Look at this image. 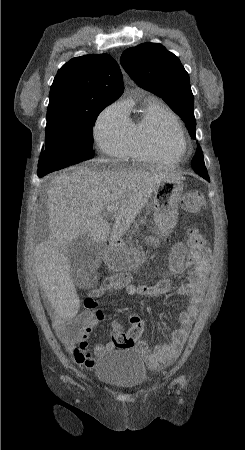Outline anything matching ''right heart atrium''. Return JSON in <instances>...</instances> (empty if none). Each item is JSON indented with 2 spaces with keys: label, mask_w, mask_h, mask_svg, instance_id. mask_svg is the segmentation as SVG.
<instances>
[{
  "label": "right heart atrium",
  "mask_w": 245,
  "mask_h": 450,
  "mask_svg": "<svg viewBox=\"0 0 245 450\" xmlns=\"http://www.w3.org/2000/svg\"><path fill=\"white\" fill-rule=\"evenodd\" d=\"M93 133L105 155L125 158L129 153V119L125 105L116 102L104 109L95 122Z\"/></svg>",
  "instance_id": "d8ad5b80"
}]
</instances>
